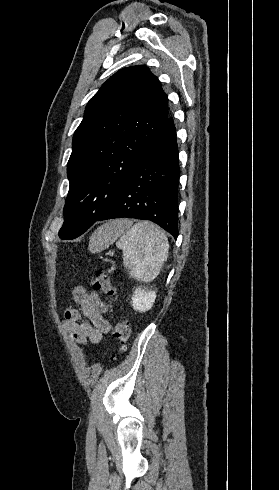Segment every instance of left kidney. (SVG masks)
<instances>
[{
  "mask_svg": "<svg viewBox=\"0 0 279 490\" xmlns=\"http://www.w3.org/2000/svg\"><path fill=\"white\" fill-rule=\"evenodd\" d=\"M131 300L133 310L143 314V312L151 310L156 300V292H154V290H148V288H143V286H139V288H136Z\"/></svg>",
  "mask_w": 279,
  "mask_h": 490,
  "instance_id": "1",
  "label": "left kidney"
}]
</instances>
